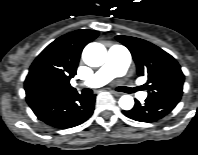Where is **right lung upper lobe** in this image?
<instances>
[{"mask_svg":"<svg viewBox=\"0 0 198 155\" xmlns=\"http://www.w3.org/2000/svg\"><path fill=\"white\" fill-rule=\"evenodd\" d=\"M98 36L94 30H77L48 45L35 59L25 80L28 104L70 95L83 48Z\"/></svg>","mask_w":198,"mask_h":155,"instance_id":"cb5924a9","label":"right lung upper lobe"}]
</instances>
